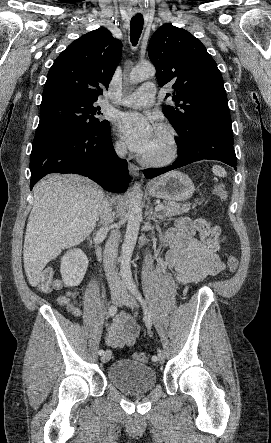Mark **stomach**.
<instances>
[{
	"instance_id": "obj_1",
	"label": "stomach",
	"mask_w": 271,
	"mask_h": 443,
	"mask_svg": "<svg viewBox=\"0 0 271 443\" xmlns=\"http://www.w3.org/2000/svg\"><path fill=\"white\" fill-rule=\"evenodd\" d=\"M194 184L182 172H169L158 180H153L149 186L150 196L162 198L168 202H183L194 194Z\"/></svg>"
}]
</instances>
